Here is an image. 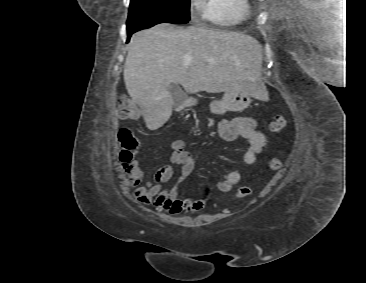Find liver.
<instances>
[{
	"label": "liver",
	"instance_id": "1",
	"mask_svg": "<svg viewBox=\"0 0 366 283\" xmlns=\"http://www.w3.org/2000/svg\"><path fill=\"white\" fill-rule=\"evenodd\" d=\"M261 52L241 33L162 23L132 36L124 81L147 128L156 130L172 114L171 84L189 94L238 90L262 99Z\"/></svg>",
	"mask_w": 366,
	"mask_h": 283
}]
</instances>
